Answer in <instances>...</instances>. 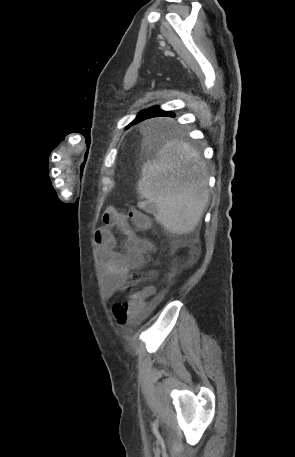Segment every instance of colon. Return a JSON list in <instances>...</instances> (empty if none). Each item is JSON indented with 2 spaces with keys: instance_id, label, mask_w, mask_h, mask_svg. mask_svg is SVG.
Wrapping results in <instances>:
<instances>
[{
  "instance_id": "colon-1",
  "label": "colon",
  "mask_w": 295,
  "mask_h": 457,
  "mask_svg": "<svg viewBox=\"0 0 295 457\" xmlns=\"http://www.w3.org/2000/svg\"><path fill=\"white\" fill-rule=\"evenodd\" d=\"M129 218L139 229L147 230L150 228V218L136 209L130 210ZM148 294L149 290L144 288L141 291L130 294L126 300L114 304L112 311L117 323L125 326L138 322L144 309L145 299Z\"/></svg>"
}]
</instances>
